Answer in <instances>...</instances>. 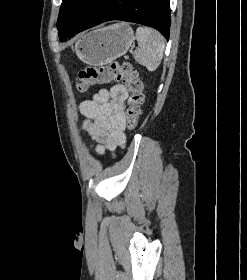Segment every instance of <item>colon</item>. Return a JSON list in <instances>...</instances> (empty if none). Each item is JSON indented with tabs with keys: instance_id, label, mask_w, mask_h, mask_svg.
Segmentation results:
<instances>
[{
	"instance_id": "5ec220e1",
	"label": "colon",
	"mask_w": 247,
	"mask_h": 280,
	"mask_svg": "<svg viewBox=\"0 0 247 280\" xmlns=\"http://www.w3.org/2000/svg\"><path fill=\"white\" fill-rule=\"evenodd\" d=\"M77 90L85 92L90 86L109 84L115 80L123 82L129 92L126 124L130 130L136 128L144 100V85L138 73L128 62L112 61L98 67H87L78 74Z\"/></svg>"
}]
</instances>
